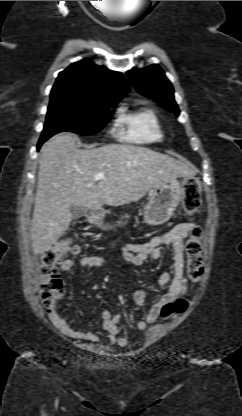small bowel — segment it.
Wrapping results in <instances>:
<instances>
[{"mask_svg": "<svg viewBox=\"0 0 242 416\" xmlns=\"http://www.w3.org/2000/svg\"><path fill=\"white\" fill-rule=\"evenodd\" d=\"M195 226L196 223L194 221L178 223L169 231L157 234L149 241L128 243L121 248L122 258L135 266H142L149 259L158 258L161 253V247L164 245L170 246L173 250L172 269L162 273L157 280L159 287L168 286V289L149 308L146 317L137 323L138 330H145L150 324L154 323L165 304L175 301L187 291L188 281L184 276L185 239ZM106 264L107 260L102 256L85 255L78 258L65 259L61 263L60 269L62 271H68L75 266L102 269ZM148 296H150L148 291L138 289L133 294V300L137 305L144 306L145 299ZM101 318L102 330L108 335L111 344L118 347H125L127 345V338L120 335L118 329V324L122 318L121 315H113L110 311L105 310L102 312ZM50 319L63 335L77 341L97 342L102 336V332H83L73 329L67 320L62 318L58 313L50 314Z\"/></svg>", "mask_w": 242, "mask_h": 416, "instance_id": "1", "label": "small bowel"}]
</instances>
